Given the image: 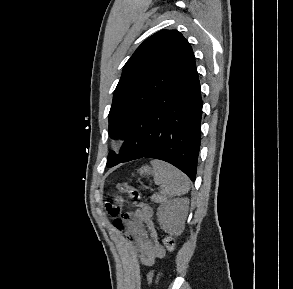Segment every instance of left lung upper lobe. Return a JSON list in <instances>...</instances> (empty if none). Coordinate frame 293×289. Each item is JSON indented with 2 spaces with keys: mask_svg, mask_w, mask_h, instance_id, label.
<instances>
[{
  "mask_svg": "<svg viewBox=\"0 0 293 289\" xmlns=\"http://www.w3.org/2000/svg\"><path fill=\"white\" fill-rule=\"evenodd\" d=\"M195 65L192 48L176 30H161L147 38L123 67L109 112V135L125 138L134 122ZM111 151L107 167L124 161Z\"/></svg>",
  "mask_w": 293,
  "mask_h": 289,
  "instance_id": "left-lung-upper-lobe-1",
  "label": "left lung upper lobe"
}]
</instances>
